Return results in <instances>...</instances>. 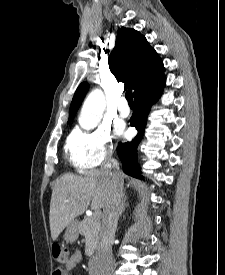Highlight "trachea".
Segmentation results:
<instances>
[{
    "instance_id": "trachea-1",
    "label": "trachea",
    "mask_w": 225,
    "mask_h": 275,
    "mask_svg": "<svg viewBox=\"0 0 225 275\" xmlns=\"http://www.w3.org/2000/svg\"><path fill=\"white\" fill-rule=\"evenodd\" d=\"M125 96H126V99H127L128 103H129V105H134L132 91L128 90L126 92Z\"/></svg>"
}]
</instances>
